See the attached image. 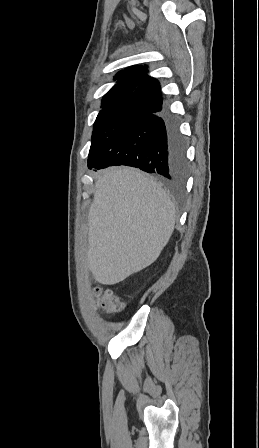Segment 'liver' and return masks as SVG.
Returning a JSON list of instances; mask_svg holds the SVG:
<instances>
[{"mask_svg":"<svg viewBox=\"0 0 259 448\" xmlns=\"http://www.w3.org/2000/svg\"><path fill=\"white\" fill-rule=\"evenodd\" d=\"M87 264L98 284H118L153 264L175 226L171 198L127 166L100 172L88 214Z\"/></svg>","mask_w":259,"mask_h":448,"instance_id":"6515ba94","label":"liver"}]
</instances>
